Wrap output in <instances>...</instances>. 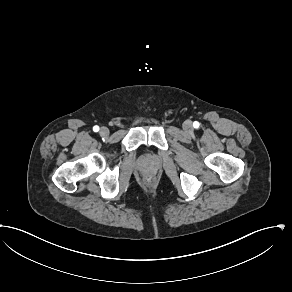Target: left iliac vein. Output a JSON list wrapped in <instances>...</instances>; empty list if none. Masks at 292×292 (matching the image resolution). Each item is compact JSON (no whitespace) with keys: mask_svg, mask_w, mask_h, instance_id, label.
Returning <instances> with one entry per match:
<instances>
[{"mask_svg":"<svg viewBox=\"0 0 292 292\" xmlns=\"http://www.w3.org/2000/svg\"><path fill=\"white\" fill-rule=\"evenodd\" d=\"M183 129L185 130V131H187V132H190L192 129H193V124H192V122L191 121H185L184 123H183Z\"/></svg>","mask_w":292,"mask_h":292,"instance_id":"4c4485c4","label":"left iliac vein"}]
</instances>
